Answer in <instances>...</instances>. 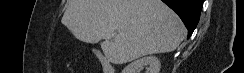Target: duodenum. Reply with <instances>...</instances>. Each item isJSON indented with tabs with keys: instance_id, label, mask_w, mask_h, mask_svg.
Instances as JSON below:
<instances>
[{
	"instance_id": "1",
	"label": "duodenum",
	"mask_w": 244,
	"mask_h": 73,
	"mask_svg": "<svg viewBox=\"0 0 244 73\" xmlns=\"http://www.w3.org/2000/svg\"><path fill=\"white\" fill-rule=\"evenodd\" d=\"M100 59H101V63H102L103 68H104V72L105 73H113L110 63L102 56L100 57Z\"/></svg>"
}]
</instances>
